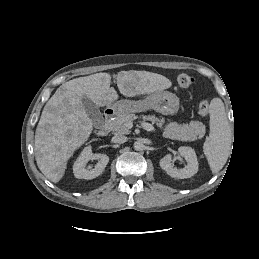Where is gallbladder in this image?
Wrapping results in <instances>:
<instances>
[{
	"mask_svg": "<svg viewBox=\"0 0 259 259\" xmlns=\"http://www.w3.org/2000/svg\"><path fill=\"white\" fill-rule=\"evenodd\" d=\"M82 104L93 124L97 127L102 126L104 118L99 108L86 96H83Z\"/></svg>",
	"mask_w": 259,
	"mask_h": 259,
	"instance_id": "obj_1",
	"label": "gallbladder"
}]
</instances>
